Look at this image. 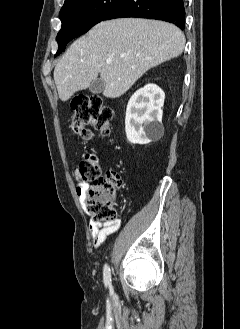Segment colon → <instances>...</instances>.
I'll return each instance as SVG.
<instances>
[{"label": "colon", "mask_w": 240, "mask_h": 329, "mask_svg": "<svg viewBox=\"0 0 240 329\" xmlns=\"http://www.w3.org/2000/svg\"><path fill=\"white\" fill-rule=\"evenodd\" d=\"M74 116L71 128L82 139H89L88 126H94L102 135L110 134V122L113 116L111 107L107 106L99 95L79 96L72 101ZM77 184L93 185L85 192V206L93 219L98 222H112L116 218V193L122 179L117 170L100 174V164L93 153L83 155L73 172Z\"/></svg>", "instance_id": "obj_1"}]
</instances>
